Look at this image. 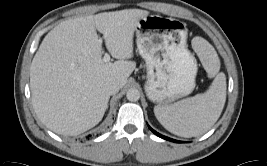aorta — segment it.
Wrapping results in <instances>:
<instances>
[{"instance_id":"1","label":"aorta","mask_w":267,"mask_h":166,"mask_svg":"<svg viewBox=\"0 0 267 166\" xmlns=\"http://www.w3.org/2000/svg\"><path fill=\"white\" fill-rule=\"evenodd\" d=\"M126 97L129 101L131 102H136L139 100L140 98V92L138 89L136 88H130L128 91H127V94H126Z\"/></svg>"}]
</instances>
